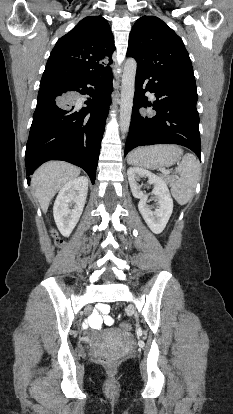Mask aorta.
I'll use <instances>...</instances> for the list:
<instances>
[{
	"mask_svg": "<svg viewBox=\"0 0 233 414\" xmlns=\"http://www.w3.org/2000/svg\"><path fill=\"white\" fill-rule=\"evenodd\" d=\"M137 70V63L133 58H128L124 65L121 86V101H120V130L127 133L130 126L133 98L135 91V75Z\"/></svg>",
	"mask_w": 233,
	"mask_h": 414,
	"instance_id": "obj_1",
	"label": "aorta"
}]
</instances>
